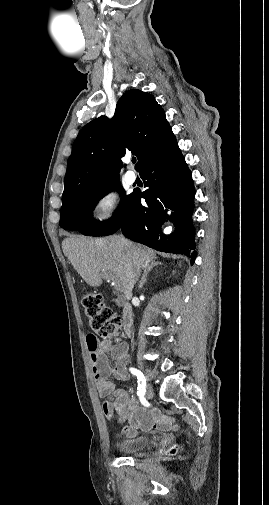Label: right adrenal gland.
I'll use <instances>...</instances> for the list:
<instances>
[{"mask_svg": "<svg viewBox=\"0 0 269 505\" xmlns=\"http://www.w3.org/2000/svg\"><path fill=\"white\" fill-rule=\"evenodd\" d=\"M162 263L161 262H156L155 260H153L150 265H148L145 270H144V274L141 278V281H140V284H139V289H142L145 282H146V277L148 275V273L155 267V266H158V265H161Z\"/></svg>", "mask_w": 269, "mask_h": 505, "instance_id": "1", "label": "right adrenal gland"}]
</instances>
